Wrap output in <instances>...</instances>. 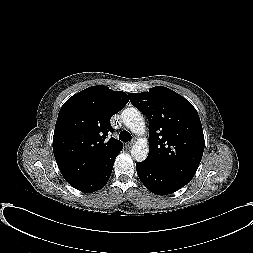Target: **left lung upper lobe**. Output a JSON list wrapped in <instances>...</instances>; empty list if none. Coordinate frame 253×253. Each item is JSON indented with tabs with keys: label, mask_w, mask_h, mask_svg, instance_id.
Listing matches in <instances>:
<instances>
[{
	"label": "left lung upper lobe",
	"mask_w": 253,
	"mask_h": 253,
	"mask_svg": "<svg viewBox=\"0 0 253 253\" xmlns=\"http://www.w3.org/2000/svg\"><path fill=\"white\" fill-rule=\"evenodd\" d=\"M129 98L149 121V154L145 161L190 182L204 151V135L196 109L184 97L163 86L129 93Z\"/></svg>",
	"instance_id": "5c2ea615"
}]
</instances>
